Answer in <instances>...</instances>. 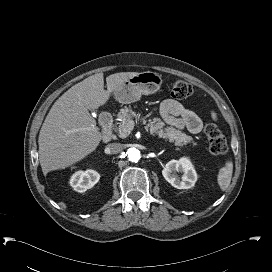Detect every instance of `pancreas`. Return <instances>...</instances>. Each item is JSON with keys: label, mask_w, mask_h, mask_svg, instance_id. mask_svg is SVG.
<instances>
[{"label": "pancreas", "mask_w": 272, "mask_h": 272, "mask_svg": "<svg viewBox=\"0 0 272 272\" xmlns=\"http://www.w3.org/2000/svg\"><path fill=\"white\" fill-rule=\"evenodd\" d=\"M117 117L121 121L120 125L116 128L120 137L128 136L130 132L127 128V123L133 118H137L143 124L147 123V117H140V114H136V112L132 110L131 106H125L120 109ZM145 129L149 130L152 135H158L159 138L174 142L176 146H186L187 144H192L193 146L196 145L191 136L172 126L165 127V123L160 118L148 119V124H146Z\"/></svg>", "instance_id": "pancreas-1"}]
</instances>
